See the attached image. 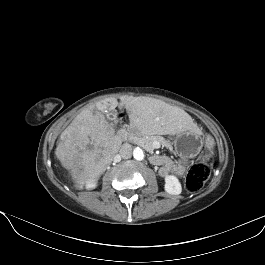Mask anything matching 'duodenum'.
<instances>
[{"label": "duodenum", "instance_id": "obj_1", "mask_svg": "<svg viewBox=\"0 0 265 265\" xmlns=\"http://www.w3.org/2000/svg\"><path fill=\"white\" fill-rule=\"evenodd\" d=\"M125 136H126V130H125V129H122V130H120V131L118 132V137H119V138H124ZM151 161H152L154 164H156V165L159 164V161H158L157 156H153V157L151 158Z\"/></svg>", "mask_w": 265, "mask_h": 265}]
</instances>
